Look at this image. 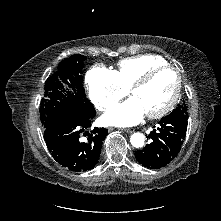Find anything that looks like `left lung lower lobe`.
I'll return each mask as SVG.
<instances>
[{
  "mask_svg": "<svg viewBox=\"0 0 221 221\" xmlns=\"http://www.w3.org/2000/svg\"><path fill=\"white\" fill-rule=\"evenodd\" d=\"M187 125V110L178 108L163 117L158 127L148 135L151 142L135 152L136 160L150 169L165 167L179 153Z\"/></svg>",
  "mask_w": 221,
  "mask_h": 221,
  "instance_id": "left-lung-lower-lobe-1",
  "label": "left lung lower lobe"
}]
</instances>
